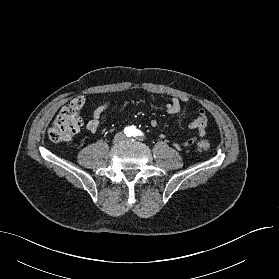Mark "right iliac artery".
I'll return each instance as SVG.
<instances>
[{"mask_svg":"<svg viewBox=\"0 0 279 279\" xmlns=\"http://www.w3.org/2000/svg\"><path fill=\"white\" fill-rule=\"evenodd\" d=\"M124 133L128 137L132 136V134H133V127H126L125 130H124Z\"/></svg>","mask_w":279,"mask_h":279,"instance_id":"obj_1","label":"right iliac artery"}]
</instances>
